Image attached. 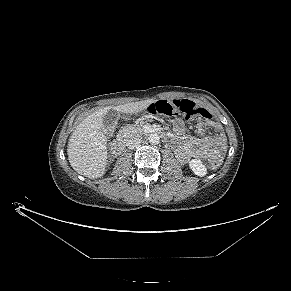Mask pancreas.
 Masks as SVG:
<instances>
[{
    "mask_svg": "<svg viewBox=\"0 0 291 291\" xmlns=\"http://www.w3.org/2000/svg\"><path fill=\"white\" fill-rule=\"evenodd\" d=\"M132 130H141V128L139 126H126L120 131V135Z\"/></svg>",
    "mask_w": 291,
    "mask_h": 291,
    "instance_id": "pancreas-1",
    "label": "pancreas"
}]
</instances>
